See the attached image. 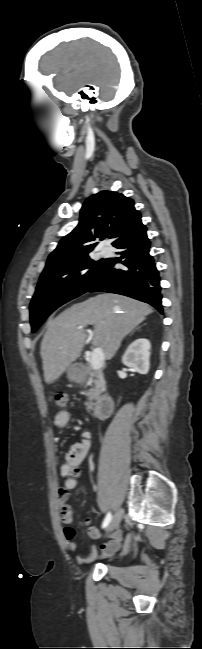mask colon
I'll return each instance as SVG.
<instances>
[{"label":"colon","mask_w":202,"mask_h":649,"mask_svg":"<svg viewBox=\"0 0 202 649\" xmlns=\"http://www.w3.org/2000/svg\"><path fill=\"white\" fill-rule=\"evenodd\" d=\"M54 403L58 407H65L67 403V395L63 392H56L53 395Z\"/></svg>","instance_id":"1"}]
</instances>
